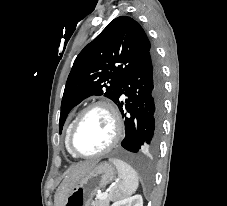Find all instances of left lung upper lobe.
Masks as SVG:
<instances>
[{
	"instance_id": "obj_1",
	"label": "left lung upper lobe",
	"mask_w": 227,
	"mask_h": 206,
	"mask_svg": "<svg viewBox=\"0 0 227 206\" xmlns=\"http://www.w3.org/2000/svg\"><path fill=\"white\" fill-rule=\"evenodd\" d=\"M151 52L146 33L134 19L112 20L74 61L61 102L60 133L70 110L85 98L104 95L117 103L124 79Z\"/></svg>"
}]
</instances>
